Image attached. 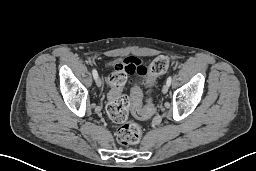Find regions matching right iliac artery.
I'll use <instances>...</instances> for the list:
<instances>
[{
    "mask_svg": "<svg viewBox=\"0 0 256 171\" xmlns=\"http://www.w3.org/2000/svg\"><path fill=\"white\" fill-rule=\"evenodd\" d=\"M92 74H93L94 79L96 80V78L98 76V73H97L96 69L92 70Z\"/></svg>",
    "mask_w": 256,
    "mask_h": 171,
    "instance_id": "obj_1",
    "label": "right iliac artery"
}]
</instances>
